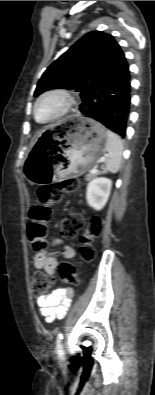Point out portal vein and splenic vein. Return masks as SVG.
Listing matches in <instances>:
<instances>
[{
	"mask_svg": "<svg viewBox=\"0 0 155 395\" xmlns=\"http://www.w3.org/2000/svg\"><path fill=\"white\" fill-rule=\"evenodd\" d=\"M104 160H105V158H101V159L99 160V163H102ZM90 172H91L92 174L96 173V172H97V166H95Z\"/></svg>",
	"mask_w": 155,
	"mask_h": 395,
	"instance_id": "obj_1",
	"label": "portal vein and splenic vein"
}]
</instances>
